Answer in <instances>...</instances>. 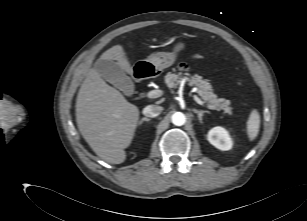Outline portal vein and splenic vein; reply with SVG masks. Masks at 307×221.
I'll use <instances>...</instances> for the list:
<instances>
[{
  "instance_id": "obj_1",
  "label": "portal vein and splenic vein",
  "mask_w": 307,
  "mask_h": 221,
  "mask_svg": "<svg viewBox=\"0 0 307 221\" xmlns=\"http://www.w3.org/2000/svg\"><path fill=\"white\" fill-rule=\"evenodd\" d=\"M163 95V91L162 90H152L150 92L147 93V97L148 98H158L160 96ZM194 100L201 106L204 105L203 101L197 97L196 95H193Z\"/></svg>"
}]
</instances>
